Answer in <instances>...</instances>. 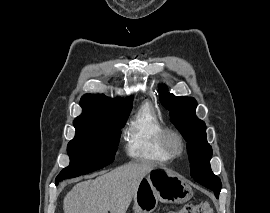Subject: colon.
Instances as JSON below:
<instances>
[{"label":"colon","instance_id":"1","mask_svg":"<svg viewBox=\"0 0 270 213\" xmlns=\"http://www.w3.org/2000/svg\"><path fill=\"white\" fill-rule=\"evenodd\" d=\"M168 213H213L208 202L186 204L178 211H169Z\"/></svg>","mask_w":270,"mask_h":213}]
</instances>
